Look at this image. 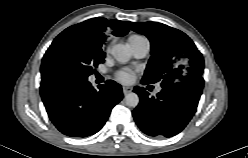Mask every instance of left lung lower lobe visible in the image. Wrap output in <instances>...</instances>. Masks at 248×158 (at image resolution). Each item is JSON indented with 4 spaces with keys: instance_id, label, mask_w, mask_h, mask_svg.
I'll return each instance as SVG.
<instances>
[{
    "instance_id": "0a47b994",
    "label": "left lung lower lobe",
    "mask_w": 248,
    "mask_h": 158,
    "mask_svg": "<svg viewBox=\"0 0 248 158\" xmlns=\"http://www.w3.org/2000/svg\"><path fill=\"white\" fill-rule=\"evenodd\" d=\"M134 92L140 97V103L132 112L138 127L149 136L172 137L181 132L194 115L202 87L179 84L163 88L156 97H150L138 86Z\"/></svg>"
}]
</instances>
